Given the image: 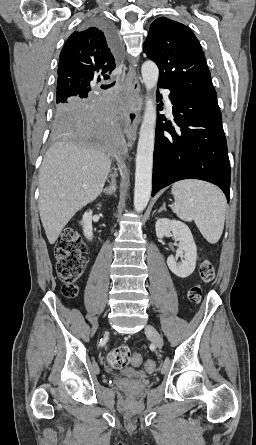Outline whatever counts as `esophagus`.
Instances as JSON below:
<instances>
[{
	"mask_svg": "<svg viewBox=\"0 0 256 445\" xmlns=\"http://www.w3.org/2000/svg\"><path fill=\"white\" fill-rule=\"evenodd\" d=\"M125 90L127 94L128 112L125 118L124 131L127 139L133 144L136 140L137 129L140 123L143 97L140 94L139 78L132 65H130L125 77Z\"/></svg>",
	"mask_w": 256,
	"mask_h": 445,
	"instance_id": "obj_1",
	"label": "esophagus"
}]
</instances>
